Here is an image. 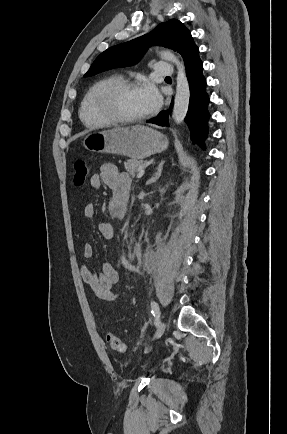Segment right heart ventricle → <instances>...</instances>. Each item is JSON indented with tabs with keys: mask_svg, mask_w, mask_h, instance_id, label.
<instances>
[{
	"mask_svg": "<svg viewBox=\"0 0 287 434\" xmlns=\"http://www.w3.org/2000/svg\"><path fill=\"white\" fill-rule=\"evenodd\" d=\"M118 79H120L118 75H110L104 77L94 83L85 93L79 107V117L85 125L90 127H104L111 124L108 120H106L97 113L94 105V100L98 90L104 84Z\"/></svg>",
	"mask_w": 287,
	"mask_h": 434,
	"instance_id": "e07e8e85",
	"label": "right heart ventricle"
}]
</instances>
